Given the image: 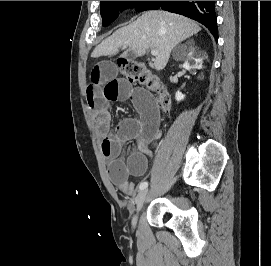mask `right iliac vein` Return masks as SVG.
Segmentation results:
<instances>
[{
  "label": "right iliac vein",
  "instance_id": "obj_1",
  "mask_svg": "<svg viewBox=\"0 0 271 266\" xmlns=\"http://www.w3.org/2000/svg\"><path fill=\"white\" fill-rule=\"evenodd\" d=\"M148 191L147 190H142L138 193V195L135 198V205H136V213L134 214L132 218V226L133 228L136 227L137 223V213L138 211L143 207L146 197H147Z\"/></svg>",
  "mask_w": 271,
  "mask_h": 266
}]
</instances>
